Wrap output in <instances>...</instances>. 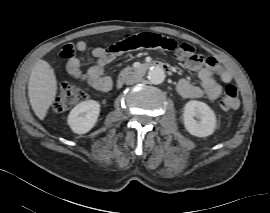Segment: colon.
Segmentation results:
<instances>
[{"label":"colon","mask_w":270,"mask_h":213,"mask_svg":"<svg viewBox=\"0 0 270 213\" xmlns=\"http://www.w3.org/2000/svg\"><path fill=\"white\" fill-rule=\"evenodd\" d=\"M141 48L151 49L159 53L177 49L178 57L181 58L183 53L190 52L191 45L186 42L178 44L175 40L158 34L141 33L122 37L117 43L108 46L107 51L116 52ZM191 60L201 64L209 62L207 57L197 52L191 53ZM86 99L87 93L80 86L71 81L63 82L58 86L54 108L55 110L62 112ZM238 105L239 97L236 86L227 84L223 88V93L220 98L221 108L224 110H232L236 109Z\"/></svg>","instance_id":"5ec220e1"}]
</instances>
